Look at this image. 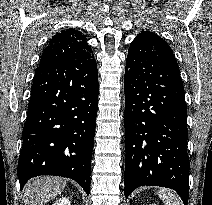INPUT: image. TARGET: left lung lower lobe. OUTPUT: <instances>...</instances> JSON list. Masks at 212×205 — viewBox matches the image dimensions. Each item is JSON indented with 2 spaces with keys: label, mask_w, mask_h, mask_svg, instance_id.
Here are the masks:
<instances>
[{
  "label": "left lung lower lobe",
  "mask_w": 212,
  "mask_h": 205,
  "mask_svg": "<svg viewBox=\"0 0 212 205\" xmlns=\"http://www.w3.org/2000/svg\"><path fill=\"white\" fill-rule=\"evenodd\" d=\"M124 194L139 186L172 188L188 202L187 109L179 66L155 33L130 44L125 68Z\"/></svg>",
  "instance_id": "1"
}]
</instances>
